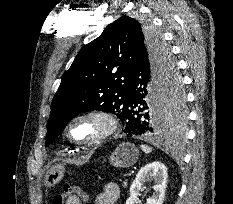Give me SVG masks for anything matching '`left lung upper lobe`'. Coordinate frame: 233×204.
Here are the masks:
<instances>
[{"label": "left lung upper lobe", "instance_id": "1", "mask_svg": "<svg viewBox=\"0 0 233 204\" xmlns=\"http://www.w3.org/2000/svg\"><path fill=\"white\" fill-rule=\"evenodd\" d=\"M141 48L167 87L162 130L178 127L185 120L182 81L179 78L174 85L169 84L176 68L170 48L149 25L122 16L87 44L63 74L52 100L45 146L82 112H111L122 121L131 67Z\"/></svg>", "mask_w": 233, "mask_h": 204}]
</instances>
